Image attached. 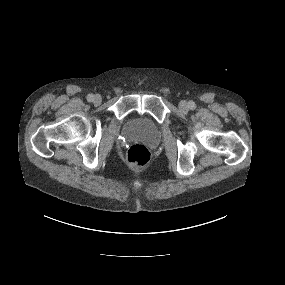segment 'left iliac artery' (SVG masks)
I'll use <instances>...</instances> for the list:
<instances>
[{
    "label": "left iliac artery",
    "mask_w": 285,
    "mask_h": 285,
    "mask_svg": "<svg viewBox=\"0 0 285 285\" xmlns=\"http://www.w3.org/2000/svg\"><path fill=\"white\" fill-rule=\"evenodd\" d=\"M195 107H196L195 103L193 101H190L189 102V108L193 110V109H195Z\"/></svg>",
    "instance_id": "obj_1"
}]
</instances>
